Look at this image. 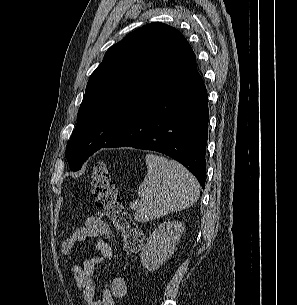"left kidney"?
Wrapping results in <instances>:
<instances>
[{
    "label": "left kidney",
    "mask_w": 297,
    "mask_h": 305,
    "mask_svg": "<svg viewBox=\"0 0 297 305\" xmlns=\"http://www.w3.org/2000/svg\"><path fill=\"white\" fill-rule=\"evenodd\" d=\"M184 230L183 223L172 221L160 224L147 240L140 261L148 271L157 270L174 253Z\"/></svg>",
    "instance_id": "left-kidney-1"
}]
</instances>
